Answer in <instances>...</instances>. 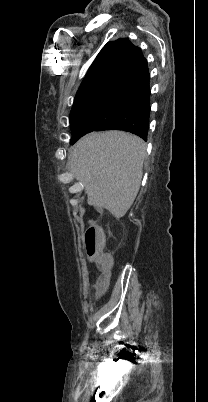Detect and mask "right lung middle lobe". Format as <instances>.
I'll list each match as a JSON object with an SVG mask.
<instances>
[{"mask_svg": "<svg viewBox=\"0 0 208 402\" xmlns=\"http://www.w3.org/2000/svg\"><path fill=\"white\" fill-rule=\"evenodd\" d=\"M121 94L109 84H102L95 89L75 97L70 113V123L83 121L93 116L116 115L121 110ZM70 144L75 143L83 134L72 132Z\"/></svg>", "mask_w": 208, "mask_h": 402, "instance_id": "dd1d6c3e", "label": "right lung middle lobe"}]
</instances>
